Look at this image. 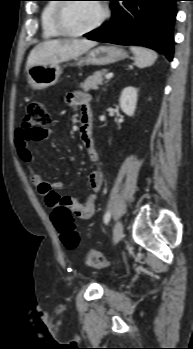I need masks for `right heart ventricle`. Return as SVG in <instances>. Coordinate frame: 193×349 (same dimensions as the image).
Instances as JSON below:
<instances>
[{"instance_id":"1","label":"right heart ventricle","mask_w":193,"mask_h":349,"mask_svg":"<svg viewBox=\"0 0 193 349\" xmlns=\"http://www.w3.org/2000/svg\"><path fill=\"white\" fill-rule=\"evenodd\" d=\"M55 1L57 0H49V2L45 4L41 11L40 24L42 37L44 39H55L61 36L59 32L54 28L52 22L53 12L56 6Z\"/></svg>"}]
</instances>
